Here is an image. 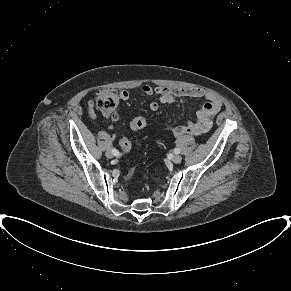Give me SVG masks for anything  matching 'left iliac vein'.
<instances>
[{"instance_id": "left-iliac-vein-1", "label": "left iliac vein", "mask_w": 291, "mask_h": 291, "mask_svg": "<svg viewBox=\"0 0 291 291\" xmlns=\"http://www.w3.org/2000/svg\"><path fill=\"white\" fill-rule=\"evenodd\" d=\"M172 161L176 164L180 163L182 161V157L178 154H175L173 157H172Z\"/></svg>"}]
</instances>
